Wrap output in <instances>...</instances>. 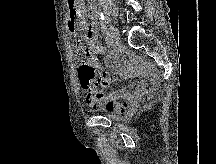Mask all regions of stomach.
Here are the masks:
<instances>
[{
    "instance_id": "stomach-1",
    "label": "stomach",
    "mask_w": 216,
    "mask_h": 164,
    "mask_svg": "<svg viewBox=\"0 0 216 164\" xmlns=\"http://www.w3.org/2000/svg\"><path fill=\"white\" fill-rule=\"evenodd\" d=\"M69 14H78V9H69Z\"/></svg>"
}]
</instances>
